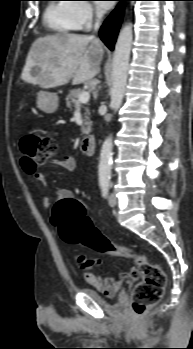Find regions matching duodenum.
Listing matches in <instances>:
<instances>
[{"mask_svg": "<svg viewBox=\"0 0 193 349\" xmlns=\"http://www.w3.org/2000/svg\"><path fill=\"white\" fill-rule=\"evenodd\" d=\"M96 140L92 135H86L79 147V151L83 155H91L95 152Z\"/></svg>", "mask_w": 193, "mask_h": 349, "instance_id": "duodenum-1", "label": "duodenum"}]
</instances>
